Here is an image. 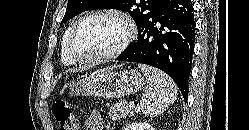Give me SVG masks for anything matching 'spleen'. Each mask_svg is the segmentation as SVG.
I'll return each mask as SVG.
<instances>
[{
	"instance_id": "spleen-1",
	"label": "spleen",
	"mask_w": 249,
	"mask_h": 130,
	"mask_svg": "<svg viewBox=\"0 0 249 130\" xmlns=\"http://www.w3.org/2000/svg\"><path fill=\"white\" fill-rule=\"evenodd\" d=\"M149 84L140 101L146 116H158L177 99V86L164 72L148 65L139 64Z\"/></svg>"
}]
</instances>
